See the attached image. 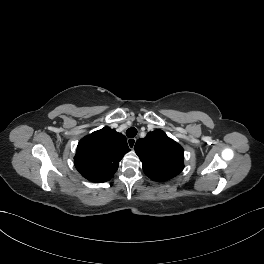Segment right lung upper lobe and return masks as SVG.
I'll return each mask as SVG.
<instances>
[{
  "label": "right lung upper lobe",
  "mask_w": 264,
  "mask_h": 264,
  "mask_svg": "<svg viewBox=\"0 0 264 264\" xmlns=\"http://www.w3.org/2000/svg\"><path fill=\"white\" fill-rule=\"evenodd\" d=\"M129 151L125 136L104 127L80 140L74 164L86 179L95 183L106 182L114 176L119 161Z\"/></svg>",
  "instance_id": "cb5924a9"
}]
</instances>
